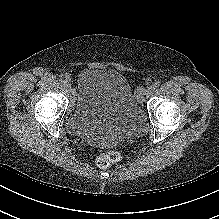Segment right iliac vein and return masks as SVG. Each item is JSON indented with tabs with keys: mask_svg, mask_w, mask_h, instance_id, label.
I'll return each instance as SVG.
<instances>
[{
	"mask_svg": "<svg viewBox=\"0 0 219 219\" xmlns=\"http://www.w3.org/2000/svg\"><path fill=\"white\" fill-rule=\"evenodd\" d=\"M65 85L70 89L71 93L73 94L72 84L70 82H66Z\"/></svg>",
	"mask_w": 219,
	"mask_h": 219,
	"instance_id": "right-iliac-vein-1",
	"label": "right iliac vein"
}]
</instances>
